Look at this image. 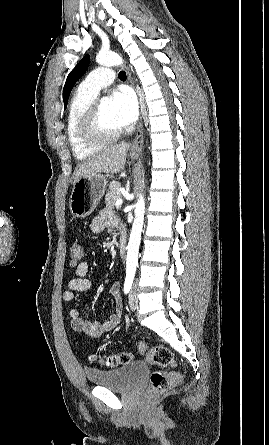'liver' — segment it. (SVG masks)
I'll return each mask as SVG.
<instances>
[{
  "label": "liver",
  "instance_id": "obj_1",
  "mask_svg": "<svg viewBox=\"0 0 269 445\" xmlns=\"http://www.w3.org/2000/svg\"><path fill=\"white\" fill-rule=\"evenodd\" d=\"M129 147L130 145L128 143L110 146L82 164H79L73 173V185L82 176L97 173L116 174L121 172L125 166Z\"/></svg>",
  "mask_w": 269,
  "mask_h": 445
}]
</instances>
